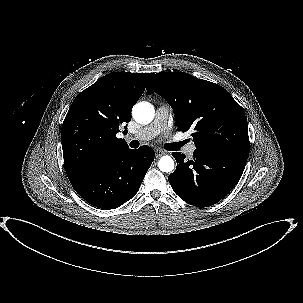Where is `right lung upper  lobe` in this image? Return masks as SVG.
Returning a JSON list of instances; mask_svg holds the SVG:
<instances>
[{"label":"right lung upper lobe","instance_id":"obj_1","mask_svg":"<svg viewBox=\"0 0 303 303\" xmlns=\"http://www.w3.org/2000/svg\"><path fill=\"white\" fill-rule=\"evenodd\" d=\"M154 73H109L77 95L62 125L64 166L70 181L129 150L120 126ZM127 133V126H125Z\"/></svg>","mask_w":303,"mask_h":303}]
</instances>
